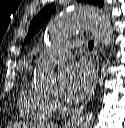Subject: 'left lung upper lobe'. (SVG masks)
Segmentation results:
<instances>
[{"instance_id": "obj_1", "label": "left lung upper lobe", "mask_w": 125, "mask_h": 128, "mask_svg": "<svg viewBox=\"0 0 125 128\" xmlns=\"http://www.w3.org/2000/svg\"><path fill=\"white\" fill-rule=\"evenodd\" d=\"M82 1L85 3H90L98 6H103V0H77ZM55 11L54 5L46 6L44 9H42L31 21L28 34L24 40V44L27 43L30 38L40 30V28L45 24V22L48 20V18L53 14Z\"/></svg>"}]
</instances>
